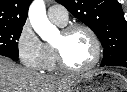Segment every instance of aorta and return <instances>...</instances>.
I'll return each mask as SVG.
<instances>
[{
    "label": "aorta",
    "mask_w": 127,
    "mask_h": 92,
    "mask_svg": "<svg viewBox=\"0 0 127 92\" xmlns=\"http://www.w3.org/2000/svg\"><path fill=\"white\" fill-rule=\"evenodd\" d=\"M28 18L35 32L43 40H49L51 35L57 30L47 18L43 0H35L32 2L28 12Z\"/></svg>",
    "instance_id": "aorta-1"
}]
</instances>
